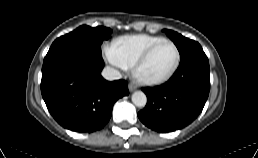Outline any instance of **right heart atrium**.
<instances>
[{"label": "right heart atrium", "instance_id": "right-heart-atrium-1", "mask_svg": "<svg viewBox=\"0 0 258 158\" xmlns=\"http://www.w3.org/2000/svg\"><path fill=\"white\" fill-rule=\"evenodd\" d=\"M106 56L108 61L113 64L114 66L120 68V69H127L123 62L121 61L120 57L116 53L115 49L113 46H111L109 49L106 51Z\"/></svg>", "mask_w": 258, "mask_h": 158}]
</instances>
